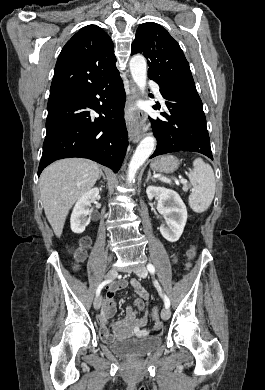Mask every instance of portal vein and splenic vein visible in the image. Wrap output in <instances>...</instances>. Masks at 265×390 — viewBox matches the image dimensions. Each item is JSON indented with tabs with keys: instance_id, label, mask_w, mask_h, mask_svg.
Segmentation results:
<instances>
[{
	"instance_id": "portal-vein-and-splenic-vein-1",
	"label": "portal vein and splenic vein",
	"mask_w": 265,
	"mask_h": 390,
	"mask_svg": "<svg viewBox=\"0 0 265 390\" xmlns=\"http://www.w3.org/2000/svg\"><path fill=\"white\" fill-rule=\"evenodd\" d=\"M160 180L163 181V182H166V183H171V180L169 178H166V177H161ZM180 182L183 183V184L187 183V181L184 180V179H181ZM185 190H187V188H185Z\"/></svg>"
}]
</instances>
